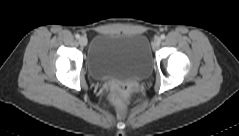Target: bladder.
I'll return each mask as SVG.
<instances>
[{
	"instance_id": "obj_1",
	"label": "bladder",
	"mask_w": 239,
	"mask_h": 136,
	"mask_svg": "<svg viewBox=\"0 0 239 136\" xmlns=\"http://www.w3.org/2000/svg\"><path fill=\"white\" fill-rule=\"evenodd\" d=\"M153 65L148 39L142 34L104 31L93 41L86 61L96 79L146 77Z\"/></svg>"
}]
</instances>
